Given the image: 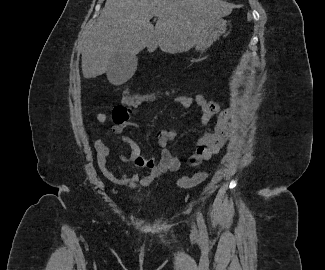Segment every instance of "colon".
Listing matches in <instances>:
<instances>
[{
  "label": "colon",
  "instance_id": "1",
  "mask_svg": "<svg viewBox=\"0 0 325 270\" xmlns=\"http://www.w3.org/2000/svg\"><path fill=\"white\" fill-rule=\"evenodd\" d=\"M177 90L178 88H168L160 91H151L147 93L131 95L128 89H126L123 93V102L129 105L153 103L163 98H167L169 96L174 95L177 92ZM208 175H209L208 172H198L193 176H187L181 178L177 182V185L180 188H191L206 180Z\"/></svg>",
  "mask_w": 325,
  "mask_h": 270
}]
</instances>
